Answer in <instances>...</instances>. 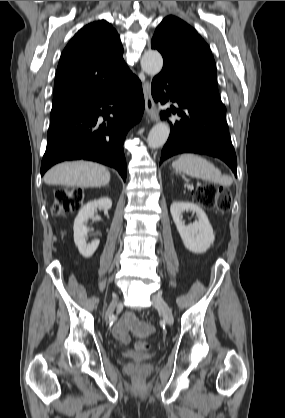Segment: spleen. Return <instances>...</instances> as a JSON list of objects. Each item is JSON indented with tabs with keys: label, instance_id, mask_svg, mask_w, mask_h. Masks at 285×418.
<instances>
[{
	"label": "spleen",
	"instance_id": "spleen-1",
	"mask_svg": "<svg viewBox=\"0 0 285 418\" xmlns=\"http://www.w3.org/2000/svg\"><path fill=\"white\" fill-rule=\"evenodd\" d=\"M172 167L189 176L218 183L224 186H230L233 182L230 176L222 175L221 171L210 161L195 154L181 155L172 163Z\"/></svg>",
	"mask_w": 285,
	"mask_h": 418
}]
</instances>
